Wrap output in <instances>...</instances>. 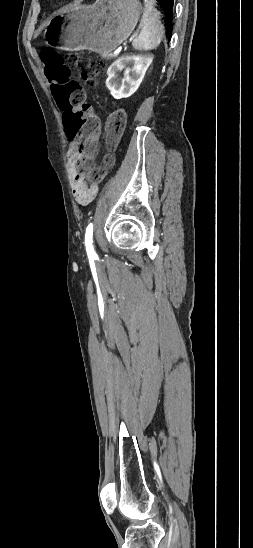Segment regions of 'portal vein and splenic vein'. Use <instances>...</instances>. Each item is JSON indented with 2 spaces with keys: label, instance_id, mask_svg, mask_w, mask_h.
<instances>
[{
  "label": "portal vein and splenic vein",
  "instance_id": "portal-vein-and-splenic-vein-1",
  "mask_svg": "<svg viewBox=\"0 0 253 548\" xmlns=\"http://www.w3.org/2000/svg\"><path fill=\"white\" fill-rule=\"evenodd\" d=\"M117 53H118V52H117V51H115V52H114V55H117Z\"/></svg>",
  "mask_w": 253,
  "mask_h": 548
}]
</instances>
